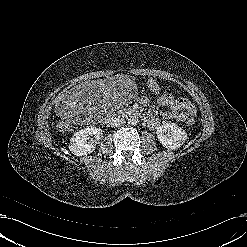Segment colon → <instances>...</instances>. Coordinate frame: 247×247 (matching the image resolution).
Masks as SVG:
<instances>
[{
    "mask_svg": "<svg viewBox=\"0 0 247 247\" xmlns=\"http://www.w3.org/2000/svg\"><path fill=\"white\" fill-rule=\"evenodd\" d=\"M153 101L157 105L172 103L174 101V96L172 94H169V93H158V94H155L153 96ZM195 122H196V119H195L194 115H191L188 117L187 124L189 126H193L195 124ZM57 127H58V130H60V131H68L72 128V123H71L70 119L62 118L58 122Z\"/></svg>",
    "mask_w": 247,
    "mask_h": 247,
    "instance_id": "1",
    "label": "colon"
}]
</instances>
